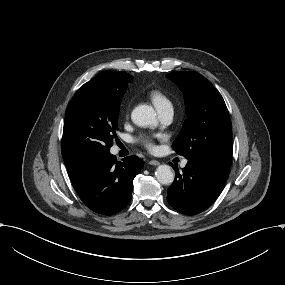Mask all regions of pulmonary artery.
<instances>
[{"instance_id": "pulmonary-artery-1", "label": "pulmonary artery", "mask_w": 285, "mask_h": 285, "mask_svg": "<svg viewBox=\"0 0 285 285\" xmlns=\"http://www.w3.org/2000/svg\"><path fill=\"white\" fill-rule=\"evenodd\" d=\"M160 117L163 121H169L172 118L173 115V108L171 105L165 106L162 109H159ZM119 149L117 147L112 148V154L116 155L118 153ZM187 165V160L184 159L181 162V167H185Z\"/></svg>"}]
</instances>
